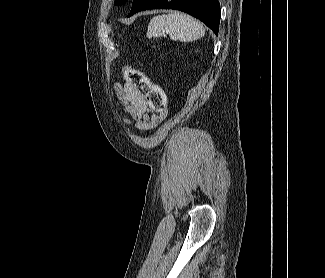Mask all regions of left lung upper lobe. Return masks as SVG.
Listing matches in <instances>:
<instances>
[{"mask_svg": "<svg viewBox=\"0 0 325 278\" xmlns=\"http://www.w3.org/2000/svg\"><path fill=\"white\" fill-rule=\"evenodd\" d=\"M127 0H115V5H122L124 3H126Z\"/></svg>", "mask_w": 325, "mask_h": 278, "instance_id": "obj_1", "label": "left lung upper lobe"}]
</instances>
